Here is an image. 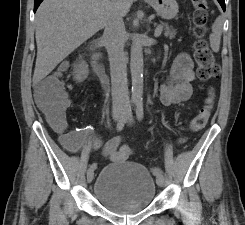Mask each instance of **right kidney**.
<instances>
[{
  "instance_id": "1",
  "label": "right kidney",
  "mask_w": 245,
  "mask_h": 225,
  "mask_svg": "<svg viewBox=\"0 0 245 225\" xmlns=\"http://www.w3.org/2000/svg\"><path fill=\"white\" fill-rule=\"evenodd\" d=\"M74 73V79L77 82H82L84 79H86L89 73L88 65L86 62L81 60L78 64H74Z\"/></svg>"
}]
</instances>
